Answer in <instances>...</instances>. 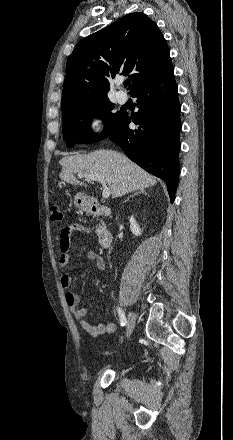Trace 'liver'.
Segmentation results:
<instances>
[{"mask_svg":"<svg viewBox=\"0 0 233 440\" xmlns=\"http://www.w3.org/2000/svg\"><path fill=\"white\" fill-rule=\"evenodd\" d=\"M59 177L72 185L87 187L75 174L101 175L108 183L112 197L117 198L136 190L154 186L156 178L122 153L114 150H97L86 155H73L60 159Z\"/></svg>","mask_w":233,"mask_h":440,"instance_id":"1","label":"liver"}]
</instances>
